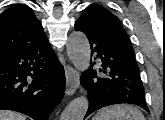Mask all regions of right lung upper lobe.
<instances>
[{
  "label": "right lung upper lobe",
  "instance_id": "obj_1",
  "mask_svg": "<svg viewBox=\"0 0 165 120\" xmlns=\"http://www.w3.org/2000/svg\"><path fill=\"white\" fill-rule=\"evenodd\" d=\"M45 38L41 22L27 5H15L0 15V54Z\"/></svg>",
  "mask_w": 165,
  "mask_h": 120
}]
</instances>
